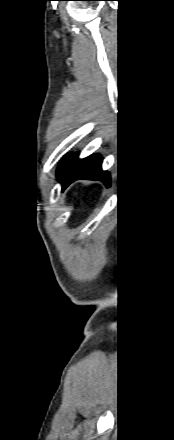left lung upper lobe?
<instances>
[{"mask_svg": "<svg viewBox=\"0 0 174 440\" xmlns=\"http://www.w3.org/2000/svg\"><path fill=\"white\" fill-rule=\"evenodd\" d=\"M69 158H70V155H67L62 159V161L58 167V176L63 172L64 168L66 167V165L69 161Z\"/></svg>", "mask_w": 174, "mask_h": 440, "instance_id": "1", "label": "left lung upper lobe"}]
</instances>
